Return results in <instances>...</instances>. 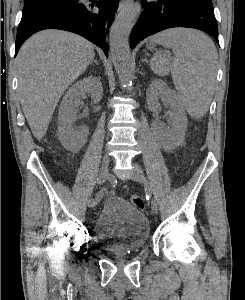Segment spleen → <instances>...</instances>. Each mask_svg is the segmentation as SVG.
<instances>
[{"mask_svg":"<svg viewBox=\"0 0 245 300\" xmlns=\"http://www.w3.org/2000/svg\"><path fill=\"white\" fill-rule=\"evenodd\" d=\"M172 49L173 59L155 55L150 61L152 71L159 76L171 72L178 96L187 112L194 118L206 114L213 96L218 53L214 43L201 32L175 28L162 31L151 38Z\"/></svg>","mask_w":245,"mask_h":300,"instance_id":"3e777b00","label":"spleen"}]
</instances>
